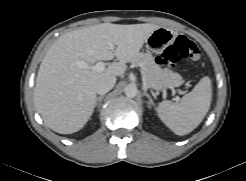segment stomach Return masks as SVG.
<instances>
[{
  "label": "stomach",
  "instance_id": "stomach-1",
  "mask_svg": "<svg viewBox=\"0 0 246 181\" xmlns=\"http://www.w3.org/2000/svg\"><path fill=\"white\" fill-rule=\"evenodd\" d=\"M176 33L165 27L156 29L146 40V47L153 52L161 51L166 46L170 45L176 39ZM181 84V81L175 80L167 86L176 87Z\"/></svg>",
  "mask_w": 246,
  "mask_h": 181
}]
</instances>
